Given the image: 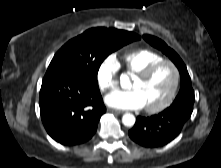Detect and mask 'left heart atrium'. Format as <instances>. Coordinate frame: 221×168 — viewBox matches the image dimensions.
Here are the masks:
<instances>
[{
    "label": "left heart atrium",
    "mask_w": 221,
    "mask_h": 168,
    "mask_svg": "<svg viewBox=\"0 0 221 168\" xmlns=\"http://www.w3.org/2000/svg\"><path fill=\"white\" fill-rule=\"evenodd\" d=\"M107 105L117 109H141L145 107L141 94L135 90H117L105 98Z\"/></svg>",
    "instance_id": "obj_1"
}]
</instances>
